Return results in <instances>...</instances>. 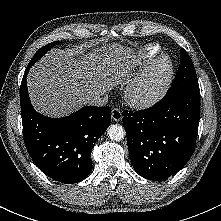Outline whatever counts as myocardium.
Segmentation results:
<instances>
[{
    "label": "myocardium",
    "instance_id": "1",
    "mask_svg": "<svg viewBox=\"0 0 221 221\" xmlns=\"http://www.w3.org/2000/svg\"><path fill=\"white\" fill-rule=\"evenodd\" d=\"M167 63V69L162 80L150 87L153 76L156 74L162 62ZM175 66L171 57L167 54L156 56L146 69L131 81L126 89V100L135 108L144 109L158 103L167 93L173 77Z\"/></svg>",
    "mask_w": 221,
    "mask_h": 221
}]
</instances>
